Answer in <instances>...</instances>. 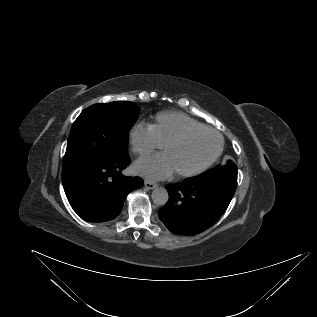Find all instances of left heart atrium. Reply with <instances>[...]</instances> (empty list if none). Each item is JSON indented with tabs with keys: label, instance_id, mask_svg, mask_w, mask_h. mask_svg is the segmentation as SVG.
<instances>
[{
	"label": "left heart atrium",
	"instance_id": "39dd6f15",
	"mask_svg": "<svg viewBox=\"0 0 317 317\" xmlns=\"http://www.w3.org/2000/svg\"><path fill=\"white\" fill-rule=\"evenodd\" d=\"M134 169L139 174L155 179H164L174 172L164 153L138 160Z\"/></svg>",
	"mask_w": 317,
	"mask_h": 317
}]
</instances>
